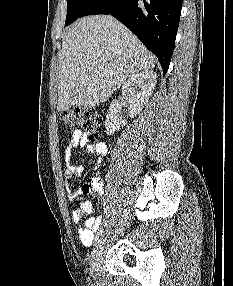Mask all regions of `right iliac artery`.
Instances as JSON below:
<instances>
[{
    "mask_svg": "<svg viewBox=\"0 0 233 286\" xmlns=\"http://www.w3.org/2000/svg\"><path fill=\"white\" fill-rule=\"evenodd\" d=\"M103 232H104V228L103 227H101L99 230H98V232H97V234H96V236H95V243L99 240V238L103 235Z\"/></svg>",
    "mask_w": 233,
    "mask_h": 286,
    "instance_id": "1",
    "label": "right iliac artery"
}]
</instances>
